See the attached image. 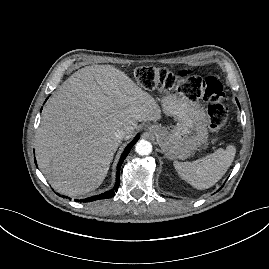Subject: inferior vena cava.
<instances>
[{
  "instance_id": "602c4592",
  "label": "inferior vena cava",
  "mask_w": 269,
  "mask_h": 269,
  "mask_svg": "<svg viewBox=\"0 0 269 269\" xmlns=\"http://www.w3.org/2000/svg\"><path fill=\"white\" fill-rule=\"evenodd\" d=\"M115 137L119 140H122L126 137V130L124 128H118L116 131H115Z\"/></svg>"
}]
</instances>
